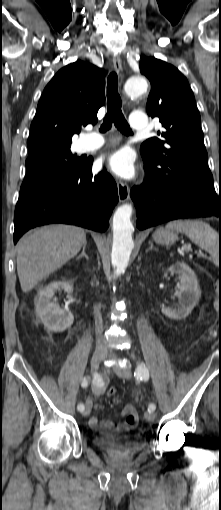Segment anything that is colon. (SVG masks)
<instances>
[{"mask_svg":"<svg viewBox=\"0 0 221 510\" xmlns=\"http://www.w3.org/2000/svg\"><path fill=\"white\" fill-rule=\"evenodd\" d=\"M220 331H221L220 329H219V331H217L216 329H213V328L209 329L207 332V338L208 339L214 338L217 335V332H220ZM115 393H116V389L114 387H110L108 389V394L110 396H114ZM114 402L119 403V400L115 399ZM137 421H138V413L136 411H132L127 415V418H126L127 424L134 426L137 423Z\"/></svg>","mask_w":221,"mask_h":510,"instance_id":"5ec220e1","label":"colon"}]
</instances>
